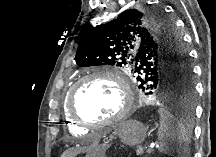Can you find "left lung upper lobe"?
<instances>
[{"mask_svg": "<svg viewBox=\"0 0 216 157\" xmlns=\"http://www.w3.org/2000/svg\"><path fill=\"white\" fill-rule=\"evenodd\" d=\"M75 62L82 67H128L146 95L164 92L193 103L189 57L164 10L148 5L128 9L93 28L83 35Z\"/></svg>", "mask_w": 216, "mask_h": 157, "instance_id": "1", "label": "left lung upper lobe"}]
</instances>
